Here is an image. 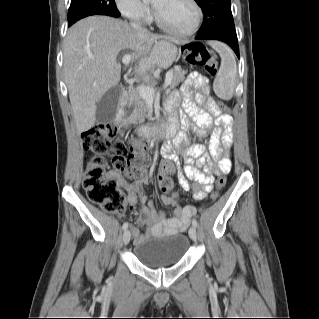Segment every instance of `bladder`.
I'll list each match as a JSON object with an SVG mask.
<instances>
[{
  "mask_svg": "<svg viewBox=\"0 0 319 319\" xmlns=\"http://www.w3.org/2000/svg\"><path fill=\"white\" fill-rule=\"evenodd\" d=\"M191 248L184 234L148 236L134 246L135 258L144 266L166 267L182 261Z\"/></svg>",
  "mask_w": 319,
  "mask_h": 319,
  "instance_id": "1",
  "label": "bladder"
}]
</instances>
